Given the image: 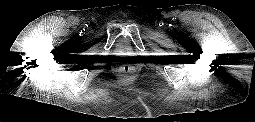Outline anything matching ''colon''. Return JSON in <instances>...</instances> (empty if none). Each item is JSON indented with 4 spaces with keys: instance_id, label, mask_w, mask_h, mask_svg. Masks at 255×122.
I'll use <instances>...</instances> for the list:
<instances>
[{
    "instance_id": "obj_1",
    "label": "colon",
    "mask_w": 255,
    "mask_h": 122,
    "mask_svg": "<svg viewBox=\"0 0 255 122\" xmlns=\"http://www.w3.org/2000/svg\"><path fill=\"white\" fill-rule=\"evenodd\" d=\"M121 70H122V72L127 73L130 71V68L128 66H123Z\"/></svg>"
}]
</instances>
